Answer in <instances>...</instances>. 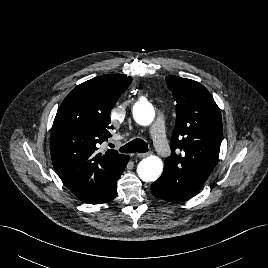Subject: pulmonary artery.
Segmentation results:
<instances>
[{
	"label": "pulmonary artery",
	"mask_w": 268,
	"mask_h": 268,
	"mask_svg": "<svg viewBox=\"0 0 268 268\" xmlns=\"http://www.w3.org/2000/svg\"><path fill=\"white\" fill-rule=\"evenodd\" d=\"M148 135L152 138L154 145L162 157L170 156V148L167 144L165 135V125L163 115H159V123L156 127L147 131Z\"/></svg>",
	"instance_id": "e3ab8cb5"
}]
</instances>
